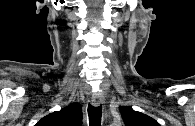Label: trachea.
I'll use <instances>...</instances> for the list:
<instances>
[{"label":"trachea","instance_id":"obj_1","mask_svg":"<svg viewBox=\"0 0 195 126\" xmlns=\"http://www.w3.org/2000/svg\"><path fill=\"white\" fill-rule=\"evenodd\" d=\"M102 115V106L88 105V116L90 126H100Z\"/></svg>","mask_w":195,"mask_h":126}]
</instances>
